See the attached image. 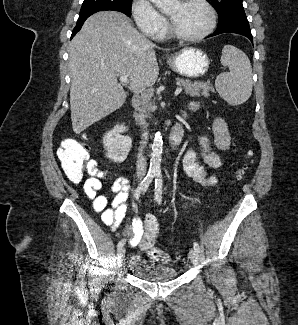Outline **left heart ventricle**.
<instances>
[{
	"label": "left heart ventricle",
	"mask_w": 298,
	"mask_h": 325,
	"mask_svg": "<svg viewBox=\"0 0 298 325\" xmlns=\"http://www.w3.org/2000/svg\"><path fill=\"white\" fill-rule=\"evenodd\" d=\"M162 9L169 15L173 28L180 34L195 35L207 24L204 9L192 0L162 1Z\"/></svg>",
	"instance_id": "obj_1"
}]
</instances>
